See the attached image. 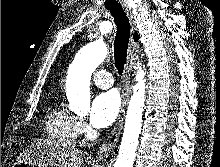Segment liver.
I'll use <instances>...</instances> for the list:
<instances>
[{"label":"liver","instance_id":"1","mask_svg":"<svg viewBox=\"0 0 220 167\" xmlns=\"http://www.w3.org/2000/svg\"><path fill=\"white\" fill-rule=\"evenodd\" d=\"M25 158L35 167H81L85 152L75 147L60 145L52 139H35L16 161Z\"/></svg>","mask_w":220,"mask_h":167}]
</instances>
